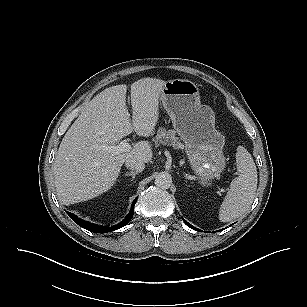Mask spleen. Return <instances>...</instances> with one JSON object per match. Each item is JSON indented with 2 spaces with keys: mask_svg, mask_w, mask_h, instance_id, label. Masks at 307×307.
<instances>
[{
  "mask_svg": "<svg viewBox=\"0 0 307 307\" xmlns=\"http://www.w3.org/2000/svg\"><path fill=\"white\" fill-rule=\"evenodd\" d=\"M238 176L221 204L219 220L232 221L243 215L252 205L257 190V168L251 154L242 146L236 153Z\"/></svg>",
  "mask_w": 307,
  "mask_h": 307,
  "instance_id": "1",
  "label": "spleen"
}]
</instances>
